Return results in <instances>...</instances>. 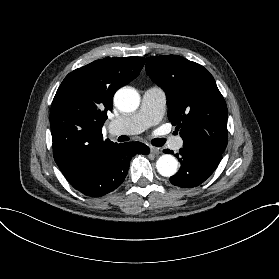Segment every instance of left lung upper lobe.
<instances>
[{
    "label": "left lung upper lobe",
    "instance_id": "obj_1",
    "mask_svg": "<svg viewBox=\"0 0 279 279\" xmlns=\"http://www.w3.org/2000/svg\"><path fill=\"white\" fill-rule=\"evenodd\" d=\"M146 72L166 93L168 118L180 129L183 146L223 153L228 142L227 106L213 76L178 55L147 58Z\"/></svg>",
    "mask_w": 279,
    "mask_h": 279
}]
</instances>
